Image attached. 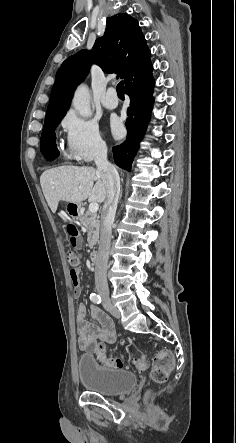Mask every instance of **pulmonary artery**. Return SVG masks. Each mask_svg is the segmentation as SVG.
<instances>
[{"label":"pulmonary artery","instance_id":"obj_1","mask_svg":"<svg viewBox=\"0 0 236 443\" xmlns=\"http://www.w3.org/2000/svg\"><path fill=\"white\" fill-rule=\"evenodd\" d=\"M116 92L114 87L108 88L105 95L101 99L102 105L107 109H115L118 106L117 101H112L108 99V96L113 95Z\"/></svg>","mask_w":236,"mask_h":443}]
</instances>
